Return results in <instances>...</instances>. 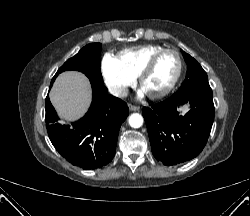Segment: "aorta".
Segmentation results:
<instances>
[{
	"label": "aorta",
	"instance_id": "aorta-1",
	"mask_svg": "<svg viewBox=\"0 0 250 216\" xmlns=\"http://www.w3.org/2000/svg\"><path fill=\"white\" fill-rule=\"evenodd\" d=\"M143 124V117L138 114L134 113L129 117V125L133 128H139Z\"/></svg>",
	"mask_w": 250,
	"mask_h": 216
}]
</instances>
